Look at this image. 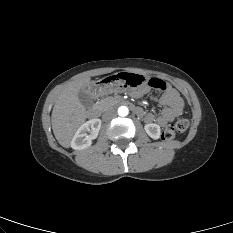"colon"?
I'll return each instance as SVG.
<instances>
[{"mask_svg":"<svg viewBox=\"0 0 233 233\" xmlns=\"http://www.w3.org/2000/svg\"><path fill=\"white\" fill-rule=\"evenodd\" d=\"M148 85L156 90L163 91L167 88V84L158 78H152L148 81ZM189 127V122L185 118L176 120L173 124L168 125L162 133L165 140H172L177 134L184 133Z\"/></svg>","mask_w":233,"mask_h":233,"instance_id":"colon-1","label":"colon"}]
</instances>
